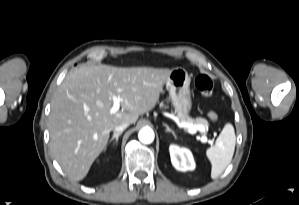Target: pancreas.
I'll list each match as a JSON object with an SVG mask.
<instances>
[{"instance_id": "1", "label": "pancreas", "mask_w": 299, "mask_h": 205, "mask_svg": "<svg viewBox=\"0 0 299 205\" xmlns=\"http://www.w3.org/2000/svg\"><path fill=\"white\" fill-rule=\"evenodd\" d=\"M178 117L182 122H187V123H192L195 125H201L204 127H208V121L204 118H197L196 120H193L191 118L183 116L182 114H178Z\"/></svg>"}]
</instances>
